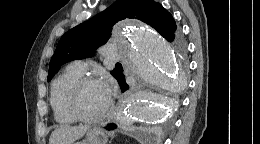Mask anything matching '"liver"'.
Masks as SVG:
<instances>
[{"label": "liver", "instance_id": "6515ba94", "mask_svg": "<svg viewBox=\"0 0 260 144\" xmlns=\"http://www.w3.org/2000/svg\"><path fill=\"white\" fill-rule=\"evenodd\" d=\"M89 130L88 126H61L55 129L50 136L49 144H73Z\"/></svg>", "mask_w": 260, "mask_h": 144}]
</instances>
